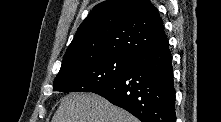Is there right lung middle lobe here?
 Listing matches in <instances>:
<instances>
[{"label":"right lung middle lobe","instance_id":"obj_1","mask_svg":"<svg viewBox=\"0 0 221 122\" xmlns=\"http://www.w3.org/2000/svg\"><path fill=\"white\" fill-rule=\"evenodd\" d=\"M133 58L109 55L83 61L59 72L53 90L81 92L103 87L119 78L129 67Z\"/></svg>","mask_w":221,"mask_h":122}]
</instances>
